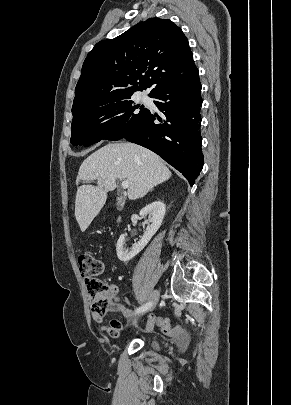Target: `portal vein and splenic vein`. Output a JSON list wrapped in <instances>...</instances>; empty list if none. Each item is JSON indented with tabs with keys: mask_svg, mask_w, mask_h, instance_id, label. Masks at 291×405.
<instances>
[{
	"mask_svg": "<svg viewBox=\"0 0 291 405\" xmlns=\"http://www.w3.org/2000/svg\"><path fill=\"white\" fill-rule=\"evenodd\" d=\"M121 186L123 189H127L129 187V181H127V180L123 181Z\"/></svg>",
	"mask_w": 291,
	"mask_h": 405,
	"instance_id": "portal-vein-and-splenic-vein-1",
	"label": "portal vein and splenic vein"
}]
</instances>
